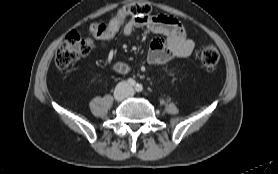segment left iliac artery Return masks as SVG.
<instances>
[{"instance_id": "left-iliac-artery-1", "label": "left iliac artery", "mask_w": 278, "mask_h": 174, "mask_svg": "<svg viewBox=\"0 0 278 174\" xmlns=\"http://www.w3.org/2000/svg\"><path fill=\"white\" fill-rule=\"evenodd\" d=\"M135 90L137 92H141L143 90V86L141 84H137L136 87H135Z\"/></svg>"}]
</instances>
